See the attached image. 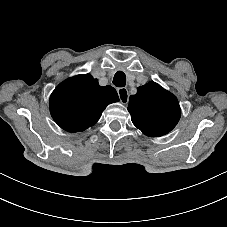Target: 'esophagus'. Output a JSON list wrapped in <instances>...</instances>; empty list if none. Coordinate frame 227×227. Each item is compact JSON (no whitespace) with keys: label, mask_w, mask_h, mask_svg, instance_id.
<instances>
[{"label":"esophagus","mask_w":227,"mask_h":227,"mask_svg":"<svg viewBox=\"0 0 227 227\" xmlns=\"http://www.w3.org/2000/svg\"><path fill=\"white\" fill-rule=\"evenodd\" d=\"M118 97L122 104H127L129 101V91L127 88H117Z\"/></svg>","instance_id":"34e87169"}]
</instances>
